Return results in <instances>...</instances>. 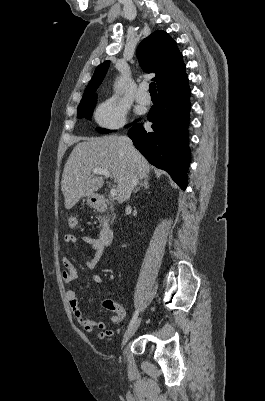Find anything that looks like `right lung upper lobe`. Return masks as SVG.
<instances>
[{"instance_id": "cb5924a9", "label": "right lung upper lobe", "mask_w": 265, "mask_h": 401, "mask_svg": "<svg viewBox=\"0 0 265 401\" xmlns=\"http://www.w3.org/2000/svg\"><path fill=\"white\" fill-rule=\"evenodd\" d=\"M137 57L144 71L156 73L153 80L157 82L158 92L173 89L188 80L182 54L176 42L164 31H155L145 38L138 46ZM109 64L110 61H105L96 68L81 102L97 96L94 93L103 81Z\"/></svg>"}]
</instances>
